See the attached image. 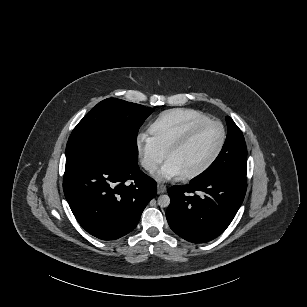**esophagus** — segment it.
Listing matches in <instances>:
<instances>
[{"label":"esophagus","mask_w":307,"mask_h":307,"mask_svg":"<svg viewBox=\"0 0 307 307\" xmlns=\"http://www.w3.org/2000/svg\"><path fill=\"white\" fill-rule=\"evenodd\" d=\"M166 191H167V188H166L165 185H163V184H158V186H157V192H158V194H164V193H166Z\"/></svg>","instance_id":"1"}]
</instances>
